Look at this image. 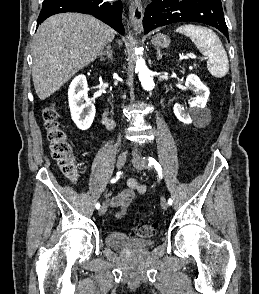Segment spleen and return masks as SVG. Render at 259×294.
Returning a JSON list of instances; mask_svg holds the SVG:
<instances>
[{"label":"spleen","mask_w":259,"mask_h":294,"mask_svg":"<svg viewBox=\"0 0 259 294\" xmlns=\"http://www.w3.org/2000/svg\"><path fill=\"white\" fill-rule=\"evenodd\" d=\"M176 32L188 36L197 49L208 57L207 68L211 75L224 77L229 71L226 51L218 36L209 28L192 24L182 25Z\"/></svg>","instance_id":"1"}]
</instances>
